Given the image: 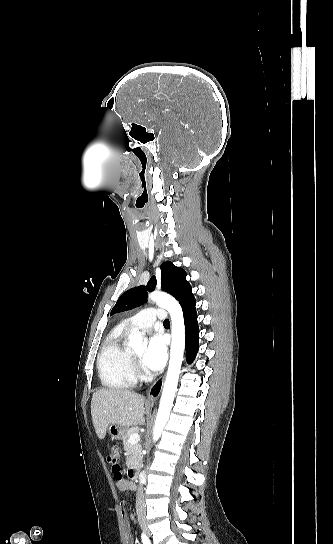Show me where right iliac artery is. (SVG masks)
<instances>
[{
    "label": "right iliac artery",
    "mask_w": 333,
    "mask_h": 544,
    "mask_svg": "<svg viewBox=\"0 0 333 544\" xmlns=\"http://www.w3.org/2000/svg\"><path fill=\"white\" fill-rule=\"evenodd\" d=\"M141 538H142L143 544H150V540L144 533H142Z\"/></svg>",
    "instance_id": "82829eb1"
}]
</instances>
